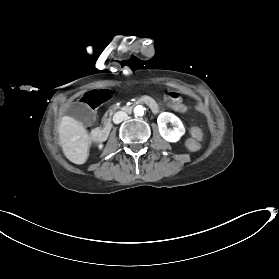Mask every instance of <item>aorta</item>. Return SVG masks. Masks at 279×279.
I'll return each instance as SVG.
<instances>
[{"mask_svg":"<svg viewBox=\"0 0 279 279\" xmlns=\"http://www.w3.org/2000/svg\"><path fill=\"white\" fill-rule=\"evenodd\" d=\"M144 107L141 106V105H137L135 108H134V113L135 115L137 116H142L144 114Z\"/></svg>","mask_w":279,"mask_h":279,"instance_id":"aorta-1","label":"aorta"}]
</instances>
